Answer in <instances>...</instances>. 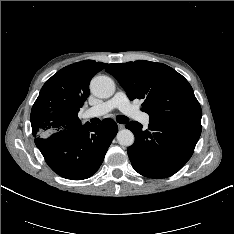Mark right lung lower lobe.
<instances>
[{"instance_id":"98d812e1","label":"right lung lower lobe","mask_w":234,"mask_h":234,"mask_svg":"<svg viewBox=\"0 0 234 234\" xmlns=\"http://www.w3.org/2000/svg\"><path fill=\"white\" fill-rule=\"evenodd\" d=\"M117 131L116 122L107 118L100 125L86 123L36 137L35 144L55 173L82 180L99 169Z\"/></svg>"}]
</instances>
